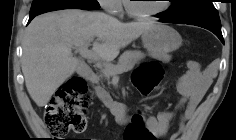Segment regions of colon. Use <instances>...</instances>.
I'll list each match as a JSON object with an SVG mask.
<instances>
[{"label": "colon", "mask_w": 236, "mask_h": 140, "mask_svg": "<svg viewBox=\"0 0 236 140\" xmlns=\"http://www.w3.org/2000/svg\"><path fill=\"white\" fill-rule=\"evenodd\" d=\"M162 75L159 63L146 62L135 71L133 82L138 91L147 97L158 88ZM90 102L85 80L78 76L69 78L45 109L44 120L49 132L57 138H63L71 131H83ZM124 140H154L143 112L132 115L125 128Z\"/></svg>", "instance_id": "obj_1"}]
</instances>
